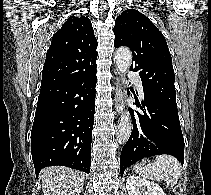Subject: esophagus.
<instances>
[{
    "mask_svg": "<svg viewBox=\"0 0 211 195\" xmlns=\"http://www.w3.org/2000/svg\"><path fill=\"white\" fill-rule=\"evenodd\" d=\"M116 91H115V98H114V102H115V109L118 112L119 115L123 114L125 106L123 103V97H124V87H123V83L121 81V78L116 76Z\"/></svg>",
    "mask_w": 211,
    "mask_h": 195,
    "instance_id": "1",
    "label": "esophagus"
}]
</instances>
